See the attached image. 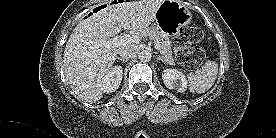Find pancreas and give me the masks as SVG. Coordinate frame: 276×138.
Returning a JSON list of instances; mask_svg holds the SVG:
<instances>
[{
    "label": "pancreas",
    "mask_w": 276,
    "mask_h": 138,
    "mask_svg": "<svg viewBox=\"0 0 276 138\" xmlns=\"http://www.w3.org/2000/svg\"><path fill=\"white\" fill-rule=\"evenodd\" d=\"M137 35L145 38H149L153 40L154 43L158 44V51L162 55V58L169 63L170 65H174V59L172 57V51L170 47V40L167 36L159 32L154 28H146L137 33Z\"/></svg>",
    "instance_id": "pancreas-1"
}]
</instances>
